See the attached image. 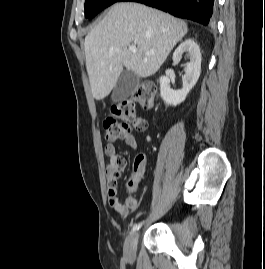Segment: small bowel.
Instances as JSON below:
<instances>
[{
	"label": "small bowel",
	"mask_w": 265,
	"mask_h": 269,
	"mask_svg": "<svg viewBox=\"0 0 265 269\" xmlns=\"http://www.w3.org/2000/svg\"><path fill=\"white\" fill-rule=\"evenodd\" d=\"M142 124L138 131H145L147 123L143 119H139ZM126 144L133 150L137 149V142L134 135H127L125 137ZM105 154L109 157L110 162L106 167V179L108 185V202L109 205L122 215H127L137 208L138 202L135 197L138 183L144 173L146 160L143 154H140L134 163L133 174L127 183L128 195L124 202L118 198L117 184L124 172L127 162L126 159L117 154L114 143H107L104 148Z\"/></svg>",
	"instance_id": "1"
}]
</instances>
